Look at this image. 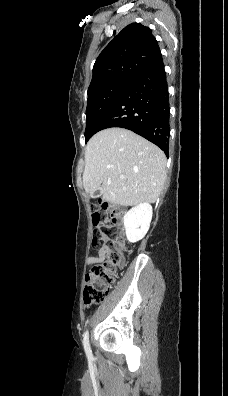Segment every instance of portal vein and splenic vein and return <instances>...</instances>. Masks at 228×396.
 I'll list each match as a JSON object with an SVG mask.
<instances>
[{
    "instance_id": "portal-vein-and-splenic-vein-1",
    "label": "portal vein and splenic vein",
    "mask_w": 228,
    "mask_h": 396,
    "mask_svg": "<svg viewBox=\"0 0 228 396\" xmlns=\"http://www.w3.org/2000/svg\"><path fill=\"white\" fill-rule=\"evenodd\" d=\"M120 178H121V179H124V175H121Z\"/></svg>"
}]
</instances>
